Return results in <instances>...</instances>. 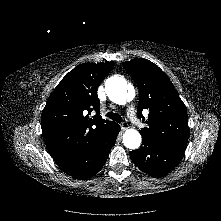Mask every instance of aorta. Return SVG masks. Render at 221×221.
Here are the masks:
<instances>
[{
	"label": "aorta",
	"instance_id": "1",
	"mask_svg": "<svg viewBox=\"0 0 221 221\" xmlns=\"http://www.w3.org/2000/svg\"><path fill=\"white\" fill-rule=\"evenodd\" d=\"M105 91L112 102L124 105L129 95L134 93V87L123 77L112 76L105 81ZM123 144L129 149H137L141 144L140 133L133 128L127 129L123 134Z\"/></svg>",
	"mask_w": 221,
	"mask_h": 221
}]
</instances>
